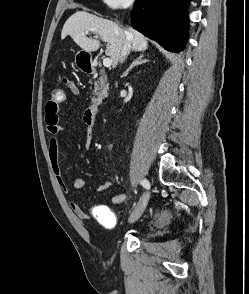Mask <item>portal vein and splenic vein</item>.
<instances>
[{
	"mask_svg": "<svg viewBox=\"0 0 249 294\" xmlns=\"http://www.w3.org/2000/svg\"><path fill=\"white\" fill-rule=\"evenodd\" d=\"M88 32H86L87 34ZM95 38H98L97 36H95ZM103 65L105 67H110L112 65V60L110 58H104L103 60Z\"/></svg>",
	"mask_w": 249,
	"mask_h": 294,
	"instance_id": "obj_1",
	"label": "portal vein and splenic vein"
}]
</instances>
